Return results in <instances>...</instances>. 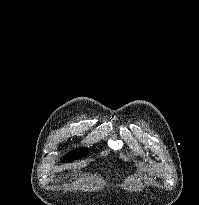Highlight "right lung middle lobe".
<instances>
[{"label":"right lung middle lobe","mask_w":199,"mask_h":205,"mask_svg":"<svg viewBox=\"0 0 199 205\" xmlns=\"http://www.w3.org/2000/svg\"><path fill=\"white\" fill-rule=\"evenodd\" d=\"M89 154V150L87 148H77L71 152H69L67 155L64 156L62 162H67L75 159L82 158Z\"/></svg>","instance_id":"obj_1"}]
</instances>
